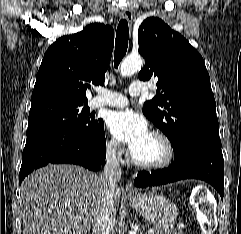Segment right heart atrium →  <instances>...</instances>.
I'll return each mask as SVG.
<instances>
[{"mask_svg":"<svg viewBox=\"0 0 241 234\" xmlns=\"http://www.w3.org/2000/svg\"><path fill=\"white\" fill-rule=\"evenodd\" d=\"M105 154L109 159L118 161L122 157L123 149L116 139L110 137L105 141Z\"/></svg>","mask_w":241,"mask_h":234,"instance_id":"obj_1","label":"right heart atrium"}]
</instances>
